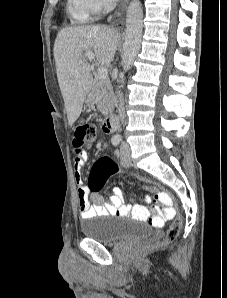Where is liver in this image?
<instances>
[{
  "instance_id": "liver-1",
  "label": "liver",
  "mask_w": 227,
  "mask_h": 298,
  "mask_svg": "<svg viewBox=\"0 0 227 298\" xmlns=\"http://www.w3.org/2000/svg\"><path fill=\"white\" fill-rule=\"evenodd\" d=\"M120 39L117 30L96 25H81L60 30L54 43L57 79L70 126L79 118L93 77L83 52H93L101 66L113 61ZM83 60L82 63H79Z\"/></svg>"
}]
</instances>
